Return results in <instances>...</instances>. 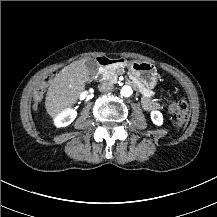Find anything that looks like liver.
<instances>
[{
  "mask_svg": "<svg viewBox=\"0 0 217 217\" xmlns=\"http://www.w3.org/2000/svg\"><path fill=\"white\" fill-rule=\"evenodd\" d=\"M91 73L85 61L77 60L65 66L51 80L45 97L47 114L57 120L63 113L74 107L80 94L85 90Z\"/></svg>",
  "mask_w": 217,
  "mask_h": 217,
  "instance_id": "obj_1",
  "label": "liver"
}]
</instances>
